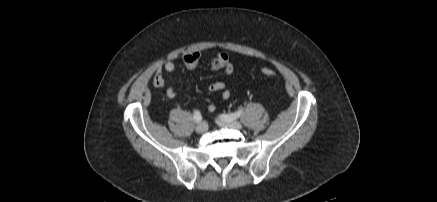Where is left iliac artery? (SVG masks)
Instances as JSON below:
<instances>
[{"label":"left iliac artery","instance_id":"1","mask_svg":"<svg viewBox=\"0 0 437 202\" xmlns=\"http://www.w3.org/2000/svg\"><path fill=\"white\" fill-rule=\"evenodd\" d=\"M242 113H243V108L239 109L238 111H236L234 113L222 114L220 117L226 121H233V120L239 118L242 115Z\"/></svg>","mask_w":437,"mask_h":202}]
</instances>
